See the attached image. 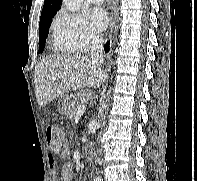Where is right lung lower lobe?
<instances>
[{"instance_id": "obj_1", "label": "right lung lower lobe", "mask_w": 197, "mask_h": 181, "mask_svg": "<svg viewBox=\"0 0 197 181\" xmlns=\"http://www.w3.org/2000/svg\"><path fill=\"white\" fill-rule=\"evenodd\" d=\"M105 50L108 52L109 51V42L105 45Z\"/></svg>"}]
</instances>
